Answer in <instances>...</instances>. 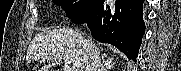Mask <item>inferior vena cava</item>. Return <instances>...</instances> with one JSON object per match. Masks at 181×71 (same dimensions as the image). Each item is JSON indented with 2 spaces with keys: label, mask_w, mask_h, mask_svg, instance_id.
I'll return each instance as SVG.
<instances>
[{
  "label": "inferior vena cava",
  "mask_w": 181,
  "mask_h": 71,
  "mask_svg": "<svg viewBox=\"0 0 181 71\" xmlns=\"http://www.w3.org/2000/svg\"><path fill=\"white\" fill-rule=\"evenodd\" d=\"M84 44L87 48V65L85 71H100L101 58L96 50L94 42L90 39L84 38Z\"/></svg>",
  "instance_id": "602c4592"
}]
</instances>
